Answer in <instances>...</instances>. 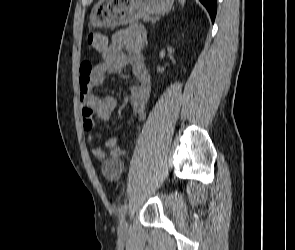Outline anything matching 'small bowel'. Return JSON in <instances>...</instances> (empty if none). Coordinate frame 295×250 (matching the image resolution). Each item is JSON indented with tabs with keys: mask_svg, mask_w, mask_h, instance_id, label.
<instances>
[{
	"mask_svg": "<svg viewBox=\"0 0 295 250\" xmlns=\"http://www.w3.org/2000/svg\"><path fill=\"white\" fill-rule=\"evenodd\" d=\"M146 42V31L140 25H132L116 31L105 46L98 52L102 60L97 63L82 62L79 76V96L82 110V125L88 135V141L94 137L93 116L101 121H108L117 108V101L113 97H98L93 89L103 83L106 75L124 73L129 69V75L135 79L130 91V106L139 120L145 117V107L150 97L151 78L145 66L142 49ZM106 147L112 155L122 153L114 138L106 141ZM93 154L97 158L104 157L101 147H95Z\"/></svg>",
	"mask_w": 295,
	"mask_h": 250,
	"instance_id": "obj_1",
	"label": "small bowel"
}]
</instances>
